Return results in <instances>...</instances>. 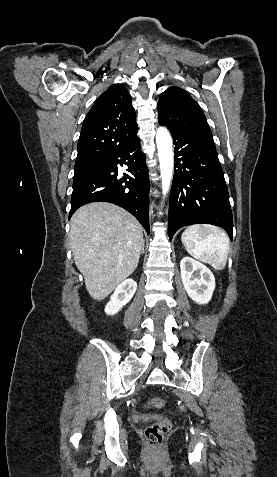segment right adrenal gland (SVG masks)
<instances>
[{
	"label": "right adrenal gland",
	"instance_id": "2a0ac1e0",
	"mask_svg": "<svg viewBox=\"0 0 277 477\" xmlns=\"http://www.w3.org/2000/svg\"><path fill=\"white\" fill-rule=\"evenodd\" d=\"M143 253H144V242L142 244V249H141V254H143Z\"/></svg>",
	"mask_w": 277,
	"mask_h": 477
}]
</instances>
